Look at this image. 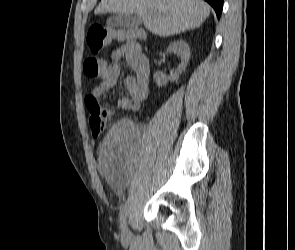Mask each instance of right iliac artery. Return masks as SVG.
<instances>
[{
    "label": "right iliac artery",
    "mask_w": 295,
    "mask_h": 250,
    "mask_svg": "<svg viewBox=\"0 0 295 250\" xmlns=\"http://www.w3.org/2000/svg\"><path fill=\"white\" fill-rule=\"evenodd\" d=\"M128 206L129 203L126 202L121 210V214H120V228L124 229L126 227V219H127V215H128Z\"/></svg>",
    "instance_id": "1"
}]
</instances>
